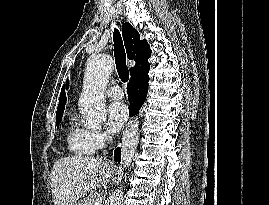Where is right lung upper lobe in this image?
Segmentation results:
<instances>
[{"mask_svg":"<svg viewBox=\"0 0 269 205\" xmlns=\"http://www.w3.org/2000/svg\"><path fill=\"white\" fill-rule=\"evenodd\" d=\"M122 35L128 58L136 61V65L130 69L131 78L148 72L150 68L148 59L151 56V50L147 41L140 40L139 33L128 22L123 24ZM65 102L66 96L62 88L56 117L63 116Z\"/></svg>","mask_w":269,"mask_h":205,"instance_id":"right-lung-upper-lobe-1","label":"right lung upper lobe"}]
</instances>
